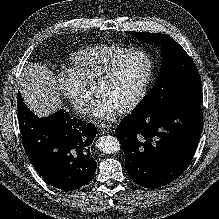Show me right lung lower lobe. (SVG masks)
Segmentation results:
<instances>
[{
	"instance_id": "obj_1",
	"label": "right lung lower lobe",
	"mask_w": 219,
	"mask_h": 219,
	"mask_svg": "<svg viewBox=\"0 0 219 219\" xmlns=\"http://www.w3.org/2000/svg\"><path fill=\"white\" fill-rule=\"evenodd\" d=\"M19 128L26 154L51 186L72 191L88 183L97 163L89 146L96 128L60 109L49 117L33 114L18 93Z\"/></svg>"
}]
</instances>
